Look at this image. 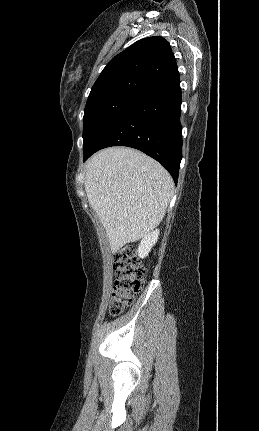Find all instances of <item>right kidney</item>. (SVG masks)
Returning <instances> with one entry per match:
<instances>
[{"instance_id": "1", "label": "right kidney", "mask_w": 259, "mask_h": 431, "mask_svg": "<svg viewBox=\"0 0 259 431\" xmlns=\"http://www.w3.org/2000/svg\"><path fill=\"white\" fill-rule=\"evenodd\" d=\"M158 235L159 230H155L144 236L137 250L138 256L140 258H145L146 256H148V253L150 252L151 248L157 242Z\"/></svg>"}]
</instances>
